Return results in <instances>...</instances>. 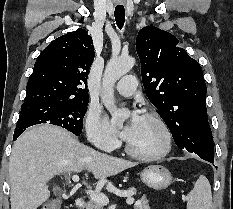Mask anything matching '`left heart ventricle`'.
Masks as SVG:
<instances>
[{"mask_svg": "<svg viewBox=\"0 0 233 209\" xmlns=\"http://www.w3.org/2000/svg\"><path fill=\"white\" fill-rule=\"evenodd\" d=\"M128 143L137 152L155 153L163 146V134L154 121L142 117Z\"/></svg>", "mask_w": 233, "mask_h": 209, "instance_id": "left-heart-ventricle-1", "label": "left heart ventricle"}]
</instances>
